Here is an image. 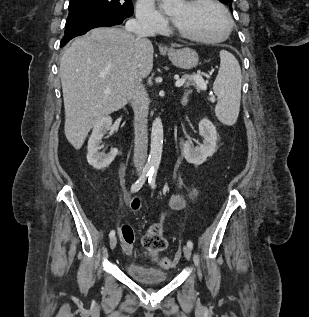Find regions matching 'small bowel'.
Wrapping results in <instances>:
<instances>
[{"instance_id": "1", "label": "small bowel", "mask_w": 309, "mask_h": 317, "mask_svg": "<svg viewBox=\"0 0 309 317\" xmlns=\"http://www.w3.org/2000/svg\"><path fill=\"white\" fill-rule=\"evenodd\" d=\"M197 192L195 189H193L190 193H189V198H194L196 196ZM127 202L130 203V200L127 199ZM186 205V197L180 195V194H176V195H172L171 197H169L168 199V206L170 209L172 210H182ZM128 252H131L132 249L131 248H126Z\"/></svg>"}]
</instances>
